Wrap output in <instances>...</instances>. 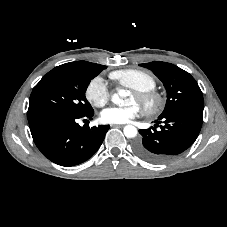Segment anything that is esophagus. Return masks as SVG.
<instances>
[{
  "label": "esophagus",
  "mask_w": 227,
  "mask_h": 227,
  "mask_svg": "<svg viewBox=\"0 0 227 227\" xmlns=\"http://www.w3.org/2000/svg\"><path fill=\"white\" fill-rule=\"evenodd\" d=\"M113 127H123L124 125H119V124H114V125H112Z\"/></svg>",
  "instance_id": "34e87169"
}]
</instances>
